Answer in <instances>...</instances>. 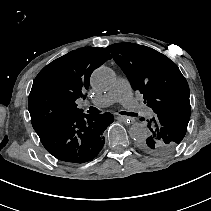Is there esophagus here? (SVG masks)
<instances>
[{"label": "esophagus", "mask_w": 211, "mask_h": 211, "mask_svg": "<svg viewBox=\"0 0 211 211\" xmlns=\"http://www.w3.org/2000/svg\"><path fill=\"white\" fill-rule=\"evenodd\" d=\"M117 119L120 121H125V123H127V124L130 123V121H131V123H133L135 121L133 118H129L127 116H118Z\"/></svg>", "instance_id": "obj_1"}]
</instances>
